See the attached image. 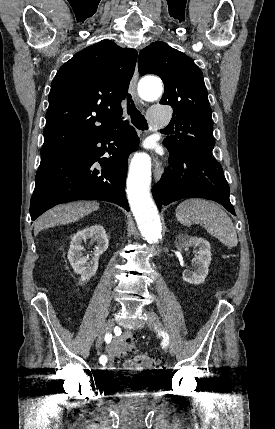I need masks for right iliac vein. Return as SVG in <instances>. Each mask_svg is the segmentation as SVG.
<instances>
[{"instance_id":"63e3f726","label":"right iliac vein","mask_w":275,"mask_h":429,"mask_svg":"<svg viewBox=\"0 0 275 429\" xmlns=\"http://www.w3.org/2000/svg\"><path fill=\"white\" fill-rule=\"evenodd\" d=\"M113 328H114L113 320H108L105 323L102 331L100 332V334L98 335V338L96 340V348L97 349L101 347V345L104 341V338H105V334L110 333L113 330Z\"/></svg>"}]
</instances>
